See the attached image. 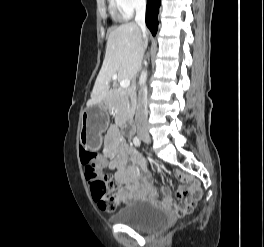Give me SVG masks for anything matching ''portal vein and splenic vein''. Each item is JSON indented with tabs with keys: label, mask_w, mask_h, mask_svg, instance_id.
<instances>
[{
	"label": "portal vein and splenic vein",
	"mask_w": 264,
	"mask_h": 247,
	"mask_svg": "<svg viewBox=\"0 0 264 247\" xmlns=\"http://www.w3.org/2000/svg\"><path fill=\"white\" fill-rule=\"evenodd\" d=\"M114 78H116V75L113 76ZM130 85V80L129 79H123L121 82H120V86L121 88L125 89V88H128Z\"/></svg>",
	"instance_id": "1"
}]
</instances>
